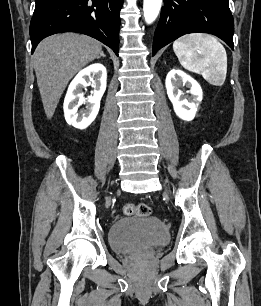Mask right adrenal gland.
<instances>
[{
  "mask_svg": "<svg viewBox=\"0 0 261 306\" xmlns=\"http://www.w3.org/2000/svg\"><path fill=\"white\" fill-rule=\"evenodd\" d=\"M100 57H106V56H105L104 53L102 52L101 55L99 56V58H100Z\"/></svg>",
  "mask_w": 261,
  "mask_h": 306,
  "instance_id": "2a0ac1e0",
  "label": "right adrenal gland"
}]
</instances>
